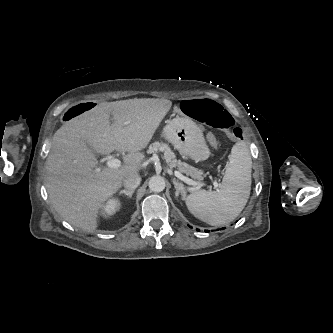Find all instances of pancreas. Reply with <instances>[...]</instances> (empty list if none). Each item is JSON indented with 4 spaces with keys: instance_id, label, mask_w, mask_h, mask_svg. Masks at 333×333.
<instances>
[{
    "instance_id": "obj_1",
    "label": "pancreas",
    "mask_w": 333,
    "mask_h": 333,
    "mask_svg": "<svg viewBox=\"0 0 333 333\" xmlns=\"http://www.w3.org/2000/svg\"><path fill=\"white\" fill-rule=\"evenodd\" d=\"M157 150H160L164 153L163 158L165 159L167 165L170 168H176L180 173H184L187 176L195 180H202L203 179V172L198 170L197 168L190 166L185 162H181L180 160L176 159L174 152L170 149V147L161 142H154L149 146L147 153H153Z\"/></svg>"
}]
</instances>
